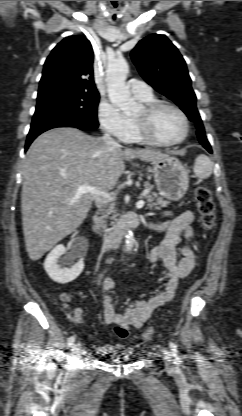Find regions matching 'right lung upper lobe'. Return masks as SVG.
<instances>
[{
	"instance_id": "1",
	"label": "right lung upper lobe",
	"mask_w": 242,
	"mask_h": 416,
	"mask_svg": "<svg viewBox=\"0 0 242 416\" xmlns=\"http://www.w3.org/2000/svg\"><path fill=\"white\" fill-rule=\"evenodd\" d=\"M93 50L84 37L63 39L48 56L38 95L59 89L98 93L93 77Z\"/></svg>"
}]
</instances>
